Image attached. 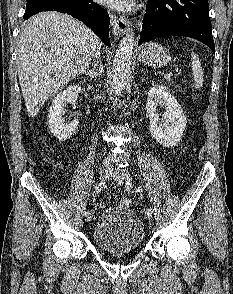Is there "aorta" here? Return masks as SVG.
Instances as JSON below:
<instances>
[{
    "label": "aorta",
    "mask_w": 233,
    "mask_h": 294,
    "mask_svg": "<svg viewBox=\"0 0 233 294\" xmlns=\"http://www.w3.org/2000/svg\"><path fill=\"white\" fill-rule=\"evenodd\" d=\"M134 34H126L115 52L112 69V90L115 97L120 96L130 76V65L134 48Z\"/></svg>",
    "instance_id": "obj_1"
}]
</instances>
